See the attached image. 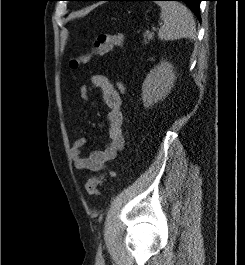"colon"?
<instances>
[{"mask_svg":"<svg viewBox=\"0 0 245 265\" xmlns=\"http://www.w3.org/2000/svg\"><path fill=\"white\" fill-rule=\"evenodd\" d=\"M124 44V36L122 33L100 34L93 41L91 47L73 57L69 65L72 69H77L80 65L90 61L95 55H104L114 48L122 47ZM117 88L121 93L126 91V84L122 81L118 82ZM102 181V176H93L85 184V189L88 195L95 196L99 194L98 186Z\"/></svg>","mask_w":245,"mask_h":265,"instance_id":"obj_1","label":"colon"}]
</instances>
